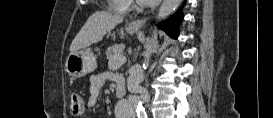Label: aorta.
Listing matches in <instances>:
<instances>
[{
	"instance_id": "obj_1",
	"label": "aorta",
	"mask_w": 273,
	"mask_h": 118,
	"mask_svg": "<svg viewBox=\"0 0 273 118\" xmlns=\"http://www.w3.org/2000/svg\"><path fill=\"white\" fill-rule=\"evenodd\" d=\"M181 0H163L161 7L158 12L157 19L163 20L167 18L171 13H173L177 7L179 6ZM156 46L155 39H151L146 43L145 52H144V65H148L150 62L151 54L153 53ZM145 109L142 105V102H139L137 105V113L142 114L144 113Z\"/></svg>"
}]
</instances>
